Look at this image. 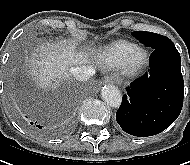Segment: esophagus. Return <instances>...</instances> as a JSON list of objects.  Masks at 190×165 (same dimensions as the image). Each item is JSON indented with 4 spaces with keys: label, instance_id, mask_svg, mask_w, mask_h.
Wrapping results in <instances>:
<instances>
[{
    "label": "esophagus",
    "instance_id": "34e87169",
    "mask_svg": "<svg viewBox=\"0 0 190 165\" xmlns=\"http://www.w3.org/2000/svg\"><path fill=\"white\" fill-rule=\"evenodd\" d=\"M115 78L113 76H107L104 80L105 83H115Z\"/></svg>",
    "mask_w": 190,
    "mask_h": 165
}]
</instances>
